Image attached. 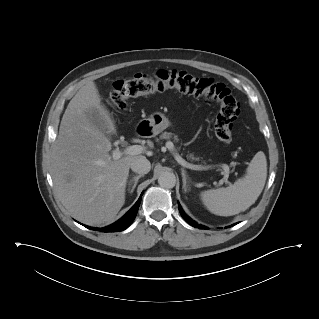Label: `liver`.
<instances>
[{"mask_svg":"<svg viewBox=\"0 0 319 319\" xmlns=\"http://www.w3.org/2000/svg\"><path fill=\"white\" fill-rule=\"evenodd\" d=\"M93 109L107 123V134L116 132L96 84L90 81L69 102L51 153L56 194L63 206L87 225L114 220L125 203L130 164L142 157L112 159L109 138L91 121Z\"/></svg>","mask_w":319,"mask_h":319,"instance_id":"1","label":"liver"}]
</instances>
